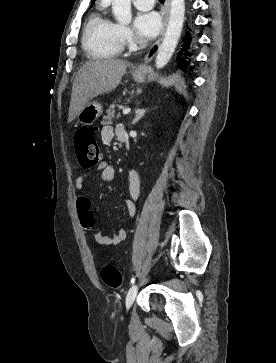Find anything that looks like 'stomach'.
I'll use <instances>...</instances> for the list:
<instances>
[{
  "mask_svg": "<svg viewBox=\"0 0 276 363\" xmlns=\"http://www.w3.org/2000/svg\"><path fill=\"white\" fill-rule=\"evenodd\" d=\"M134 81L143 83L145 81V75L143 73L132 74ZM102 106L95 101H89L83 109L77 115L78 121L86 126L92 125L102 114Z\"/></svg>",
  "mask_w": 276,
  "mask_h": 363,
  "instance_id": "0dacf381",
  "label": "stomach"
}]
</instances>
